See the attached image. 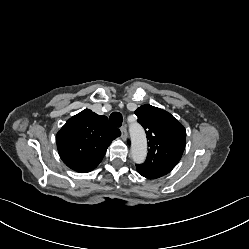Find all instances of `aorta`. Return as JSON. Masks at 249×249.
<instances>
[{
	"label": "aorta",
	"instance_id": "762f6f07",
	"mask_svg": "<svg viewBox=\"0 0 249 249\" xmlns=\"http://www.w3.org/2000/svg\"><path fill=\"white\" fill-rule=\"evenodd\" d=\"M131 136V155L135 163H143L147 156V139L141 125L133 122L129 126Z\"/></svg>",
	"mask_w": 249,
	"mask_h": 249
}]
</instances>
